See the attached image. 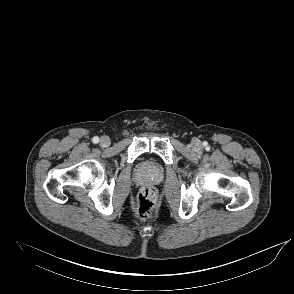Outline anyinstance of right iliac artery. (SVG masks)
Wrapping results in <instances>:
<instances>
[{"mask_svg": "<svg viewBox=\"0 0 294 294\" xmlns=\"http://www.w3.org/2000/svg\"><path fill=\"white\" fill-rule=\"evenodd\" d=\"M93 142L94 143H98L99 142V138L97 136L93 137Z\"/></svg>", "mask_w": 294, "mask_h": 294, "instance_id": "82829eb1", "label": "right iliac artery"}]
</instances>
